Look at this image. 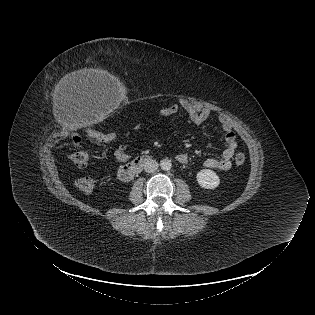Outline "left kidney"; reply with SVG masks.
<instances>
[{
  "label": "left kidney",
  "mask_w": 315,
  "mask_h": 315,
  "mask_svg": "<svg viewBox=\"0 0 315 315\" xmlns=\"http://www.w3.org/2000/svg\"><path fill=\"white\" fill-rule=\"evenodd\" d=\"M196 178H197L198 184L202 188H206V189H214L220 183V179L218 175L210 169H203L199 171L196 175Z\"/></svg>",
  "instance_id": "obj_1"
}]
</instances>
